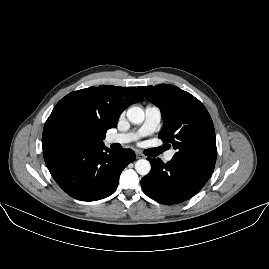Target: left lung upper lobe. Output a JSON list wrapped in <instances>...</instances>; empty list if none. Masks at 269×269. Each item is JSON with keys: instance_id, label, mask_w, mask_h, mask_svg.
<instances>
[{"instance_id": "5c2ea615", "label": "left lung upper lobe", "mask_w": 269, "mask_h": 269, "mask_svg": "<svg viewBox=\"0 0 269 269\" xmlns=\"http://www.w3.org/2000/svg\"><path fill=\"white\" fill-rule=\"evenodd\" d=\"M138 89L161 109L163 127L159 138L177 150L173 159L214 170L216 140L212 119L205 106L180 88L159 84Z\"/></svg>"}]
</instances>
